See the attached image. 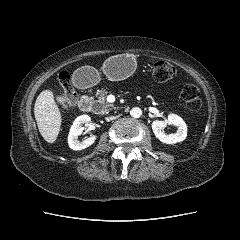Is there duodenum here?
<instances>
[{
	"label": "duodenum",
	"instance_id": "410a0bca",
	"mask_svg": "<svg viewBox=\"0 0 240 240\" xmlns=\"http://www.w3.org/2000/svg\"><path fill=\"white\" fill-rule=\"evenodd\" d=\"M80 86L85 87L86 86V80H81L80 81ZM91 98L89 95H83L79 101V108L83 111V112H89L91 110Z\"/></svg>",
	"mask_w": 240,
	"mask_h": 240
}]
</instances>
